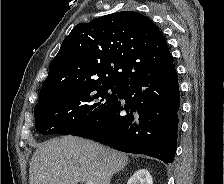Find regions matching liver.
<instances>
[{
  "label": "liver",
  "mask_w": 224,
  "mask_h": 184,
  "mask_svg": "<svg viewBox=\"0 0 224 184\" xmlns=\"http://www.w3.org/2000/svg\"><path fill=\"white\" fill-rule=\"evenodd\" d=\"M128 156L98 143L63 136L40 145L32 156L30 184H110Z\"/></svg>",
  "instance_id": "6515ba94"
}]
</instances>
